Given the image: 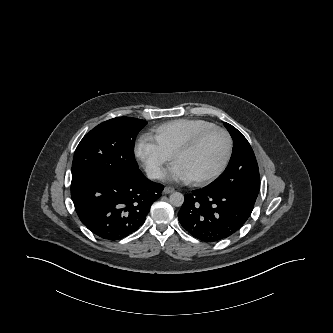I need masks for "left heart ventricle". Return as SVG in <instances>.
Wrapping results in <instances>:
<instances>
[{"label": "left heart ventricle", "mask_w": 333, "mask_h": 333, "mask_svg": "<svg viewBox=\"0 0 333 333\" xmlns=\"http://www.w3.org/2000/svg\"><path fill=\"white\" fill-rule=\"evenodd\" d=\"M227 150L223 134H209L194 150L180 156L179 164L190 178L204 177L213 173L222 164Z\"/></svg>", "instance_id": "left-heart-ventricle-1"}]
</instances>
